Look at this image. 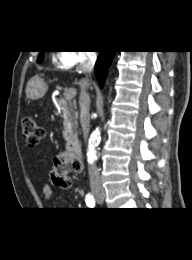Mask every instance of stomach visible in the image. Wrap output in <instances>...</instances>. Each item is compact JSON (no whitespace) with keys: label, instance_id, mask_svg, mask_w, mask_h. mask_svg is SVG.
Here are the masks:
<instances>
[{"label":"stomach","instance_id":"1","mask_svg":"<svg viewBox=\"0 0 192 260\" xmlns=\"http://www.w3.org/2000/svg\"><path fill=\"white\" fill-rule=\"evenodd\" d=\"M47 87L39 77L32 78L27 85V97L33 100L43 97Z\"/></svg>","mask_w":192,"mask_h":260}]
</instances>
